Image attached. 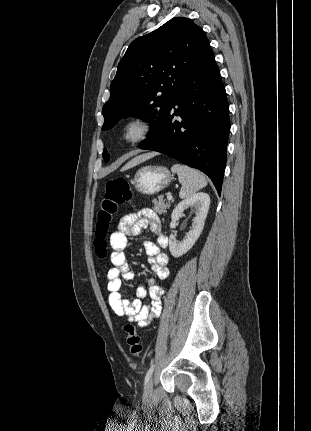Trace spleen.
<instances>
[{
  "instance_id": "3e777b00",
  "label": "spleen",
  "mask_w": 311,
  "mask_h": 431,
  "mask_svg": "<svg viewBox=\"0 0 311 431\" xmlns=\"http://www.w3.org/2000/svg\"><path fill=\"white\" fill-rule=\"evenodd\" d=\"M173 174H177L178 180L182 186L179 192V198L185 200L189 196H193L198 190H202L207 186V180L201 172L188 168V166H181V164H174L171 168Z\"/></svg>"
}]
</instances>
